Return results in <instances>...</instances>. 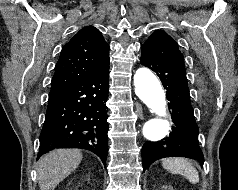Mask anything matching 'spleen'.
Returning <instances> with one entry per match:
<instances>
[{"instance_id": "3e777b00", "label": "spleen", "mask_w": 238, "mask_h": 190, "mask_svg": "<svg viewBox=\"0 0 238 190\" xmlns=\"http://www.w3.org/2000/svg\"><path fill=\"white\" fill-rule=\"evenodd\" d=\"M164 169L174 174L185 176L189 182L196 184L199 182L197 169L184 158H168L162 161Z\"/></svg>"}]
</instances>
